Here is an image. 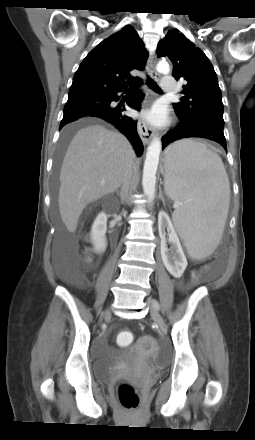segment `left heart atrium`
Returning <instances> with one entry per match:
<instances>
[{"instance_id":"left-heart-atrium-1","label":"left heart atrium","mask_w":255,"mask_h":440,"mask_svg":"<svg viewBox=\"0 0 255 440\" xmlns=\"http://www.w3.org/2000/svg\"><path fill=\"white\" fill-rule=\"evenodd\" d=\"M145 117L153 124H163L166 121L167 116L164 107L157 104L146 112Z\"/></svg>"}]
</instances>
